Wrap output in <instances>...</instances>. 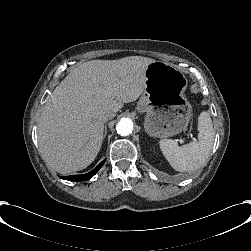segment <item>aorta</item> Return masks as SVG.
<instances>
[{
  "label": "aorta",
  "mask_w": 251,
  "mask_h": 251,
  "mask_svg": "<svg viewBox=\"0 0 251 251\" xmlns=\"http://www.w3.org/2000/svg\"><path fill=\"white\" fill-rule=\"evenodd\" d=\"M117 133L121 136L129 135L133 130V122L130 119L124 118L119 121L116 127Z\"/></svg>",
  "instance_id": "762f6f07"
}]
</instances>
